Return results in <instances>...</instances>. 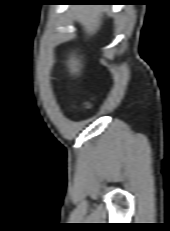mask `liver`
<instances>
[{"label": "liver", "mask_w": 170, "mask_h": 231, "mask_svg": "<svg viewBox=\"0 0 170 231\" xmlns=\"http://www.w3.org/2000/svg\"><path fill=\"white\" fill-rule=\"evenodd\" d=\"M72 12L76 16L78 22L83 26L84 31L88 35L95 34L101 26V18L106 8L97 6H79L73 7ZM71 74L78 75L82 68L81 60L75 56H71L67 62Z\"/></svg>", "instance_id": "6515ba94"}]
</instances>
